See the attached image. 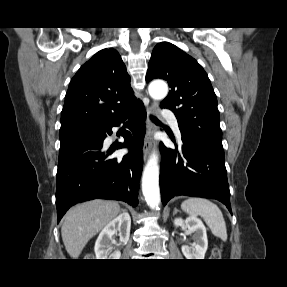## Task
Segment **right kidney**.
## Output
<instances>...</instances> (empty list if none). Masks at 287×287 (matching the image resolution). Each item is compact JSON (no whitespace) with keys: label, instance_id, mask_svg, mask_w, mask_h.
<instances>
[{"label":"right kidney","instance_id":"1","mask_svg":"<svg viewBox=\"0 0 287 287\" xmlns=\"http://www.w3.org/2000/svg\"><path fill=\"white\" fill-rule=\"evenodd\" d=\"M131 218L123 212L109 222L100 232L94 247L96 259H120L118 250L112 251V237L119 232L120 242L127 243L130 236Z\"/></svg>","mask_w":287,"mask_h":287}]
</instances>
